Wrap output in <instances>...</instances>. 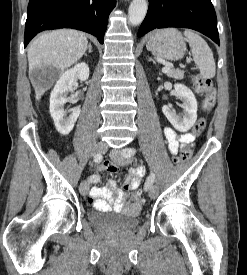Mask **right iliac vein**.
I'll return each instance as SVG.
<instances>
[{
    "label": "right iliac vein",
    "mask_w": 247,
    "mask_h": 275,
    "mask_svg": "<svg viewBox=\"0 0 247 275\" xmlns=\"http://www.w3.org/2000/svg\"><path fill=\"white\" fill-rule=\"evenodd\" d=\"M107 144L104 143V142H100L98 144H96L93 148V152L94 154H104L106 151H107ZM89 188H90V183L89 181L87 180H83L81 183H80V186H79V191L82 195H86L89 191Z\"/></svg>",
    "instance_id": "63e3f726"
}]
</instances>
